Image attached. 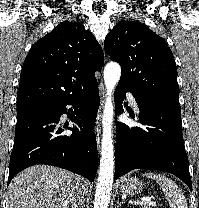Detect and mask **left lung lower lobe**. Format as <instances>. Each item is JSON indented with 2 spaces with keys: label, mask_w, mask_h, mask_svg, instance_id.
Here are the masks:
<instances>
[{
  "label": "left lung lower lobe",
  "mask_w": 199,
  "mask_h": 208,
  "mask_svg": "<svg viewBox=\"0 0 199 208\" xmlns=\"http://www.w3.org/2000/svg\"><path fill=\"white\" fill-rule=\"evenodd\" d=\"M126 92L133 94L144 127L130 128L117 122L115 179L134 169L160 170L176 175L192 190L181 107L150 101L119 83L114 94L116 115L124 112Z\"/></svg>",
  "instance_id": "left-lung-lower-lobe-1"
}]
</instances>
